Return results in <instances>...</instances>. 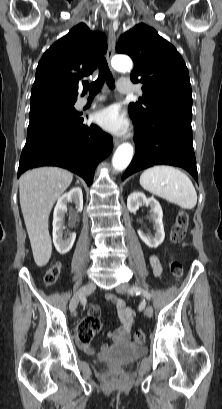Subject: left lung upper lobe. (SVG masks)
Returning a JSON list of instances; mask_svg holds the SVG:
<instances>
[{
  "mask_svg": "<svg viewBox=\"0 0 222 409\" xmlns=\"http://www.w3.org/2000/svg\"><path fill=\"white\" fill-rule=\"evenodd\" d=\"M118 53L134 61L133 82L143 84L139 102L129 105L130 117L150 120L166 115L192 119V94L188 69L175 47L152 28L140 23L124 33Z\"/></svg>",
  "mask_w": 222,
  "mask_h": 409,
  "instance_id": "5c2ea615",
  "label": "left lung upper lobe"
}]
</instances>
